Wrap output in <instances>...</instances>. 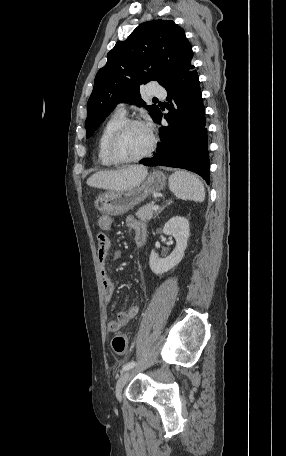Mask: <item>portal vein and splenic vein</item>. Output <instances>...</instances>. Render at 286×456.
I'll use <instances>...</instances> for the list:
<instances>
[{
  "mask_svg": "<svg viewBox=\"0 0 286 456\" xmlns=\"http://www.w3.org/2000/svg\"><path fill=\"white\" fill-rule=\"evenodd\" d=\"M158 209H159V206H158V205H155V206L153 207V210H154V211H156V210H158Z\"/></svg>",
  "mask_w": 286,
  "mask_h": 456,
  "instance_id": "1",
  "label": "portal vein and splenic vein"
}]
</instances>
